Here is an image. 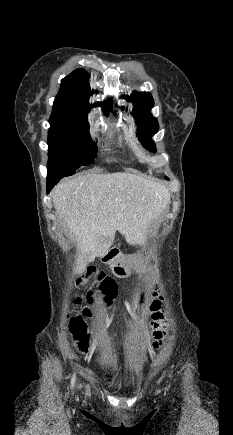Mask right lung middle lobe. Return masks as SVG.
Listing matches in <instances>:
<instances>
[{
	"mask_svg": "<svg viewBox=\"0 0 233 435\" xmlns=\"http://www.w3.org/2000/svg\"><path fill=\"white\" fill-rule=\"evenodd\" d=\"M49 123L47 179L73 175L79 167L93 163L97 148L90 138L87 117Z\"/></svg>",
	"mask_w": 233,
	"mask_h": 435,
	"instance_id": "dd1d6c3e",
	"label": "right lung middle lobe"
}]
</instances>
